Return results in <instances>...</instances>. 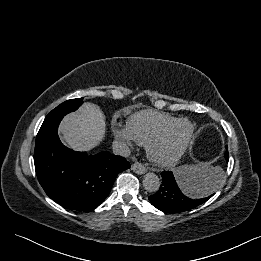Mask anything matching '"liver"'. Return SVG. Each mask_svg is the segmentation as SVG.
<instances>
[{"label":"liver","instance_id":"liver-1","mask_svg":"<svg viewBox=\"0 0 261 261\" xmlns=\"http://www.w3.org/2000/svg\"><path fill=\"white\" fill-rule=\"evenodd\" d=\"M59 131L66 146L76 151H88L105 136V116L97 105L87 102L78 111L64 117Z\"/></svg>","mask_w":261,"mask_h":261}]
</instances>
